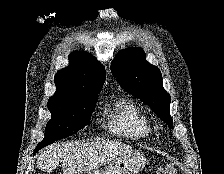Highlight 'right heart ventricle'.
<instances>
[{
	"instance_id": "1",
	"label": "right heart ventricle",
	"mask_w": 224,
	"mask_h": 174,
	"mask_svg": "<svg viewBox=\"0 0 224 174\" xmlns=\"http://www.w3.org/2000/svg\"><path fill=\"white\" fill-rule=\"evenodd\" d=\"M108 129L117 136L142 139L152 132L151 124L136 103L120 99L109 109Z\"/></svg>"
}]
</instances>
